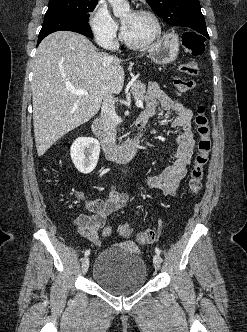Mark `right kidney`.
<instances>
[{
    "instance_id": "ca27d5eb",
    "label": "right kidney",
    "mask_w": 247,
    "mask_h": 332,
    "mask_svg": "<svg viewBox=\"0 0 247 332\" xmlns=\"http://www.w3.org/2000/svg\"><path fill=\"white\" fill-rule=\"evenodd\" d=\"M99 154L100 144L97 139L91 137L77 138L70 148L72 162L83 174H88L95 169Z\"/></svg>"
}]
</instances>
